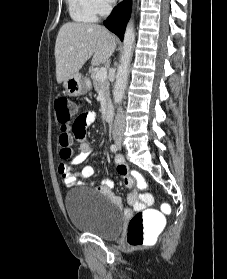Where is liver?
<instances>
[{
  "mask_svg": "<svg viewBox=\"0 0 227 279\" xmlns=\"http://www.w3.org/2000/svg\"><path fill=\"white\" fill-rule=\"evenodd\" d=\"M115 47V37L103 26L80 22L63 24L55 43L57 83L78 73L91 57L93 65L105 63Z\"/></svg>",
  "mask_w": 227,
  "mask_h": 279,
  "instance_id": "6515ba94",
  "label": "liver"
}]
</instances>
